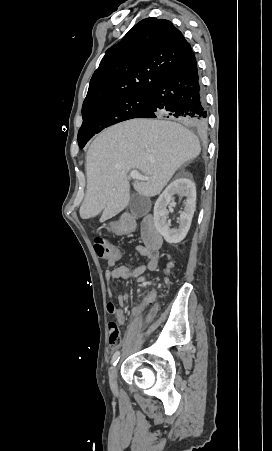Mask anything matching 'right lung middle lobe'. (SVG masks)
Returning a JSON list of instances; mask_svg holds the SVG:
<instances>
[{"label": "right lung middle lobe", "mask_w": 272, "mask_h": 451, "mask_svg": "<svg viewBox=\"0 0 272 451\" xmlns=\"http://www.w3.org/2000/svg\"><path fill=\"white\" fill-rule=\"evenodd\" d=\"M149 94L130 95L104 101L82 112L83 123L78 132L79 147L103 129L137 118L147 108Z\"/></svg>", "instance_id": "1"}]
</instances>
